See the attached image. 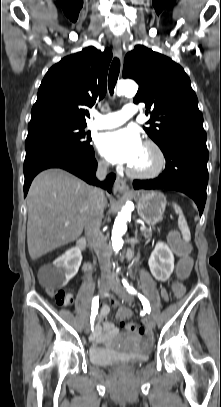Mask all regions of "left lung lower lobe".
Segmentation results:
<instances>
[{"label":"left lung lower lobe","instance_id":"0a47b994","mask_svg":"<svg viewBox=\"0 0 221 407\" xmlns=\"http://www.w3.org/2000/svg\"><path fill=\"white\" fill-rule=\"evenodd\" d=\"M166 158L164 172L155 179L135 180V189H168L183 192L198 206L200 215L206 202L208 183L205 131L184 130L170 137L162 149Z\"/></svg>","mask_w":221,"mask_h":407}]
</instances>
